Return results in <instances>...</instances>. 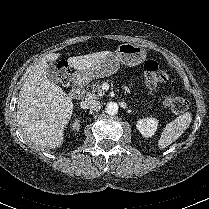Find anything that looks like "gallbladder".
<instances>
[{"instance_id": "obj_1", "label": "gallbladder", "mask_w": 209, "mask_h": 209, "mask_svg": "<svg viewBox=\"0 0 209 209\" xmlns=\"http://www.w3.org/2000/svg\"><path fill=\"white\" fill-rule=\"evenodd\" d=\"M58 72L55 65L50 62L47 67V78L50 82L57 84L59 82Z\"/></svg>"}]
</instances>
